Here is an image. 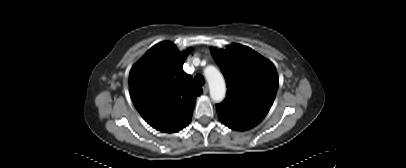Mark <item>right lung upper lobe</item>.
<instances>
[{"label": "right lung upper lobe", "mask_w": 406, "mask_h": 168, "mask_svg": "<svg viewBox=\"0 0 406 168\" xmlns=\"http://www.w3.org/2000/svg\"><path fill=\"white\" fill-rule=\"evenodd\" d=\"M191 49L178 51L172 42L156 44L132 67L129 90L138 112L153 128L178 132L192 118L196 97L203 90L183 71Z\"/></svg>", "instance_id": "1"}]
</instances>
